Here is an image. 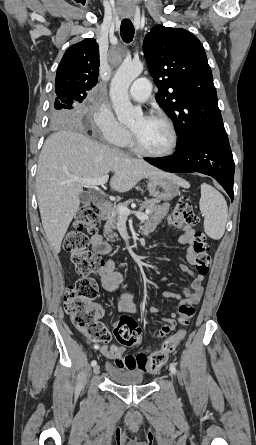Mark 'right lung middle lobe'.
<instances>
[{"mask_svg": "<svg viewBox=\"0 0 256 445\" xmlns=\"http://www.w3.org/2000/svg\"><path fill=\"white\" fill-rule=\"evenodd\" d=\"M85 98L70 90L56 93L54 108L50 113L51 121L58 124L71 121L72 113L70 110L77 102H82Z\"/></svg>", "mask_w": 256, "mask_h": 445, "instance_id": "dd1d6c3e", "label": "right lung middle lobe"}]
</instances>
